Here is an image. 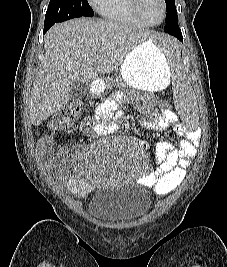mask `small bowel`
Segmentation results:
<instances>
[{
    "label": "small bowel",
    "mask_w": 227,
    "mask_h": 267,
    "mask_svg": "<svg viewBox=\"0 0 227 267\" xmlns=\"http://www.w3.org/2000/svg\"><path fill=\"white\" fill-rule=\"evenodd\" d=\"M115 110V101L108 98L96 107L91 122H85L82 126H76L72 130L82 129L88 137L110 135L118 128L114 120ZM177 124L176 115L169 109H163L158 112L148 111L142 127L146 130H165L177 127ZM176 133L180 137V149L165 141L149 146L153 150L157 168L154 172L144 175L142 182L156 193H168L180 185L186 166L192 163L199 148V136L196 131L187 133L178 129ZM40 151L49 161L54 159L52 144L49 140L41 141ZM62 154L69 158L67 164L73 168L72 174L65 178V190L78 195L87 194L90 191V178L86 169L78 163L71 150H64Z\"/></svg>",
    "instance_id": "c3829d8e"
}]
</instances>
